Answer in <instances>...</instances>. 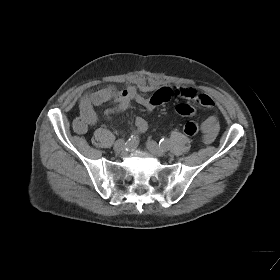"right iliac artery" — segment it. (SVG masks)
I'll use <instances>...</instances> for the list:
<instances>
[{
    "label": "right iliac artery",
    "instance_id": "82829eb1",
    "mask_svg": "<svg viewBox=\"0 0 280 280\" xmlns=\"http://www.w3.org/2000/svg\"><path fill=\"white\" fill-rule=\"evenodd\" d=\"M139 144V137L137 133H133L130 138L125 143V148L127 151H133L137 148Z\"/></svg>",
    "mask_w": 280,
    "mask_h": 280
}]
</instances>
